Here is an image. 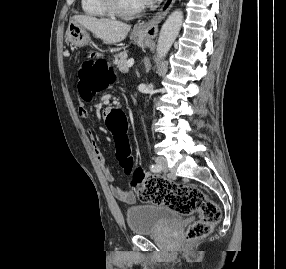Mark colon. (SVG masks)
Returning a JSON list of instances; mask_svg holds the SVG:
<instances>
[{"mask_svg": "<svg viewBox=\"0 0 286 269\" xmlns=\"http://www.w3.org/2000/svg\"><path fill=\"white\" fill-rule=\"evenodd\" d=\"M92 59L98 60H86L78 68V89L84 98L94 97L114 78L107 62L100 60L101 54H92ZM128 116L129 111H125V108H110L106 126H109L113 137V149H117L113 150V155H117L120 166L131 176V188L141 200L165 205L180 214L198 212L199 220L188 228L186 238L194 241L207 236L221 218L219 206L200 188L146 174L141 169V163H134V150H131L134 144L129 137Z\"/></svg>", "mask_w": 286, "mask_h": 269, "instance_id": "colon-1", "label": "colon"}]
</instances>
